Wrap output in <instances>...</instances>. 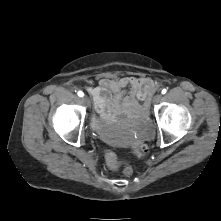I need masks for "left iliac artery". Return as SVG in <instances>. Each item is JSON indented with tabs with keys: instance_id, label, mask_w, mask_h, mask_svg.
<instances>
[{
	"instance_id": "44dca946",
	"label": "left iliac artery",
	"mask_w": 221,
	"mask_h": 221,
	"mask_svg": "<svg viewBox=\"0 0 221 221\" xmlns=\"http://www.w3.org/2000/svg\"><path fill=\"white\" fill-rule=\"evenodd\" d=\"M166 92H167L166 89H163V90L161 91L162 94H165Z\"/></svg>"
}]
</instances>
